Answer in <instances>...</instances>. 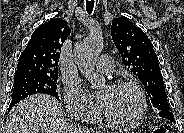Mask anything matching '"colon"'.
I'll list each match as a JSON object with an SVG mask.
<instances>
[{
  "label": "colon",
  "mask_w": 184,
  "mask_h": 133,
  "mask_svg": "<svg viewBox=\"0 0 184 133\" xmlns=\"http://www.w3.org/2000/svg\"><path fill=\"white\" fill-rule=\"evenodd\" d=\"M153 133H168V129L164 126L156 127Z\"/></svg>",
  "instance_id": "obj_1"
}]
</instances>
